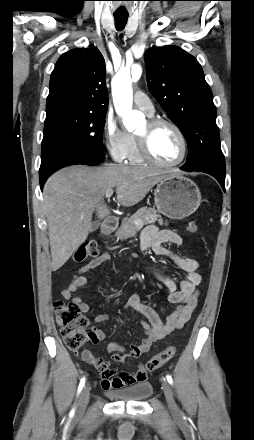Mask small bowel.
Segmentation results:
<instances>
[{"instance_id": "small-bowel-1", "label": "small bowel", "mask_w": 254, "mask_h": 440, "mask_svg": "<svg viewBox=\"0 0 254 440\" xmlns=\"http://www.w3.org/2000/svg\"><path fill=\"white\" fill-rule=\"evenodd\" d=\"M182 242V238L172 231L159 230L155 226H148L143 230L140 250L142 252L152 250L157 256L170 258L178 268L185 272V277L178 285L169 276L156 270H150L164 285L168 300L175 304L176 308L167 317L166 321L163 322L153 308L140 301L137 294L129 296L125 303V308L137 314H141L146 318V320L141 321V327L145 337L140 343L132 344L128 351L120 344L109 343L107 350L111 354L112 361L121 363L127 358H138L149 350L153 342L182 329L191 318L192 312L197 305L199 296L198 287L202 281V276L198 272L199 263L195 259L181 257L164 246L166 243L180 246ZM108 259L109 255L105 253L92 259L78 270L68 287L62 290V297L77 305L80 312L86 313L90 310L88 303L80 296L75 295L77 290L87 284V278L83 276V274L97 268ZM107 320L108 315L106 313L98 314L93 318V321L96 323H103ZM92 332L93 336L90 340L94 344L106 338V334L101 328L94 327ZM81 358L100 372L101 384L105 389L145 382L147 379V372L142 365L134 372H125L113 368L110 362L102 358L92 356L87 350L81 353Z\"/></svg>"}]
</instances>
